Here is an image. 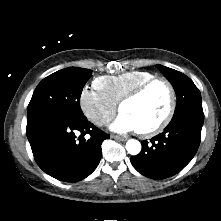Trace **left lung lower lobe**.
<instances>
[{"label": "left lung lower lobe", "instance_id": "left-lung-lower-lobe-1", "mask_svg": "<svg viewBox=\"0 0 221 221\" xmlns=\"http://www.w3.org/2000/svg\"><path fill=\"white\" fill-rule=\"evenodd\" d=\"M204 122L202 109L185 110L174 115L162 133L142 141L141 153L131 157L142 175L161 180L181 171L196 154Z\"/></svg>", "mask_w": 221, "mask_h": 221}]
</instances>
